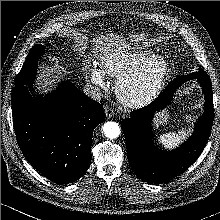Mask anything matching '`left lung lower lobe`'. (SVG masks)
Here are the masks:
<instances>
[{"instance_id":"left-lung-lower-lobe-1","label":"left lung lower lobe","mask_w":220,"mask_h":220,"mask_svg":"<svg viewBox=\"0 0 220 220\" xmlns=\"http://www.w3.org/2000/svg\"><path fill=\"white\" fill-rule=\"evenodd\" d=\"M192 79H197L203 88L204 113L197 120L193 135L180 148L171 152L156 149L151 139V123L155 112L170 105L176 90L190 79L168 84L152 103L132 111L130 118L121 122L129 164L133 172L146 182L161 183L179 176L196 161L206 146L214 119L212 84L209 77L203 75Z\"/></svg>"}]
</instances>
